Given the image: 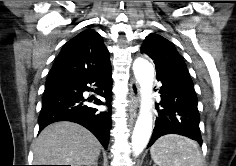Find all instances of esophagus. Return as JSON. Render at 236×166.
Masks as SVG:
<instances>
[{"mask_svg":"<svg viewBox=\"0 0 236 166\" xmlns=\"http://www.w3.org/2000/svg\"><path fill=\"white\" fill-rule=\"evenodd\" d=\"M129 102L130 113L132 117L135 118L139 112V86L134 80L131 82Z\"/></svg>","mask_w":236,"mask_h":166,"instance_id":"1","label":"esophagus"}]
</instances>
